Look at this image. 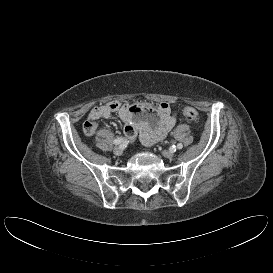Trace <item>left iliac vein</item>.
Listing matches in <instances>:
<instances>
[{
  "label": "left iliac vein",
  "mask_w": 273,
  "mask_h": 273,
  "mask_svg": "<svg viewBox=\"0 0 273 273\" xmlns=\"http://www.w3.org/2000/svg\"><path fill=\"white\" fill-rule=\"evenodd\" d=\"M162 155L165 157V158H172L174 153L173 151H162Z\"/></svg>",
  "instance_id": "obj_1"
}]
</instances>
